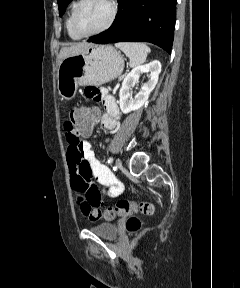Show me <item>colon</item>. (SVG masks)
<instances>
[{"label": "colon", "instance_id": "colon-1", "mask_svg": "<svg viewBox=\"0 0 240 288\" xmlns=\"http://www.w3.org/2000/svg\"><path fill=\"white\" fill-rule=\"evenodd\" d=\"M99 111L97 108L78 106L74 108L68 115L69 124L77 131L84 132L91 130L98 121ZM102 196L100 194H92L88 197L79 196L77 201L82 214L96 221L101 218L113 220L116 217H125L126 228L129 232L139 230L141 223L136 217L138 212L143 214H152L154 206L149 202H134L128 200H120L114 207H109L105 210L99 209Z\"/></svg>", "mask_w": 240, "mask_h": 288}]
</instances>
